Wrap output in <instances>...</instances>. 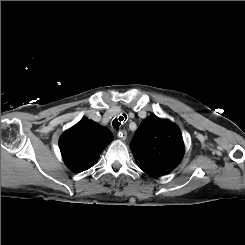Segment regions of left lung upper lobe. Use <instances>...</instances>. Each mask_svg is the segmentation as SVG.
<instances>
[{
	"label": "left lung upper lobe",
	"instance_id": "5c2ea615",
	"mask_svg": "<svg viewBox=\"0 0 245 245\" xmlns=\"http://www.w3.org/2000/svg\"><path fill=\"white\" fill-rule=\"evenodd\" d=\"M130 148L138 166L154 177L170 173L184 155V142L178 126L155 115L141 122Z\"/></svg>",
	"mask_w": 245,
	"mask_h": 245
}]
</instances>
